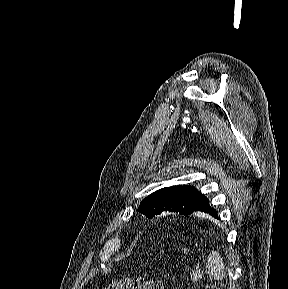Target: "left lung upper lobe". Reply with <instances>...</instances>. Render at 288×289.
Here are the masks:
<instances>
[{"instance_id": "obj_1", "label": "left lung upper lobe", "mask_w": 288, "mask_h": 289, "mask_svg": "<svg viewBox=\"0 0 288 289\" xmlns=\"http://www.w3.org/2000/svg\"><path fill=\"white\" fill-rule=\"evenodd\" d=\"M196 188L188 185L166 187L153 192L140 203L138 211L148 218L163 211L189 215L204 199Z\"/></svg>"}]
</instances>
